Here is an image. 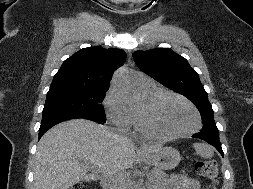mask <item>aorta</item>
<instances>
[{"mask_svg":"<svg viewBox=\"0 0 253 189\" xmlns=\"http://www.w3.org/2000/svg\"><path fill=\"white\" fill-rule=\"evenodd\" d=\"M113 83L114 87L121 93L128 106H135L140 102V96L136 88L130 78L123 71L117 72Z\"/></svg>","mask_w":253,"mask_h":189,"instance_id":"obj_1","label":"aorta"}]
</instances>
